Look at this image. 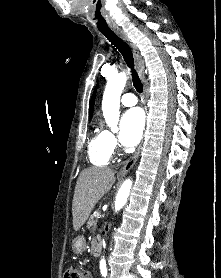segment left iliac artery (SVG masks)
<instances>
[{"mask_svg":"<svg viewBox=\"0 0 221 278\" xmlns=\"http://www.w3.org/2000/svg\"><path fill=\"white\" fill-rule=\"evenodd\" d=\"M100 270H101L102 276L106 277L107 276V269H106V263L105 262L100 263Z\"/></svg>","mask_w":221,"mask_h":278,"instance_id":"obj_1","label":"left iliac artery"}]
</instances>
